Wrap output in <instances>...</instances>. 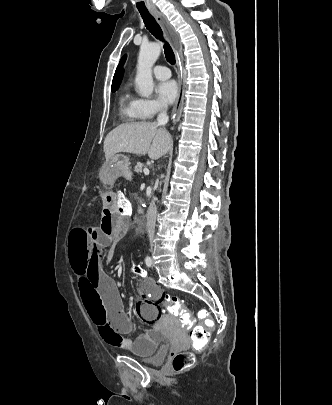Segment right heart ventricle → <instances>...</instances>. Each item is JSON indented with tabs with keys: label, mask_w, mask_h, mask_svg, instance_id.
Masks as SVG:
<instances>
[{
	"label": "right heart ventricle",
	"mask_w": 332,
	"mask_h": 405,
	"mask_svg": "<svg viewBox=\"0 0 332 405\" xmlns=\"http://www.w3.org/2000/svg\"><path fill=\"white\" fill-rule=\"evenodd\" d=\"M119 112L124 121L136 123L145 117L141 111V100L134 96L129 86H126L119 97Z\"/></svg>",
	"instance_id": "right-heart-ventricle-1"
}]
</instances>
